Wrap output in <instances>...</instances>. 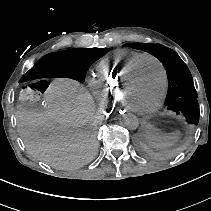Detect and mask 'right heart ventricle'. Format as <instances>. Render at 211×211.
<instances>
[{"label":"right heart ventricle","instance_id":"right-heart-ventricle-1","mask_svg":"<svg viewBox=\"0 0 211 211\" xmlns=\"http://www.w3.org/2000/svg\"><path fill=\"white\" fill-rule=\"evenodd\" d=\"M146 55L134 53L132 50L113 52L98 64L95 82L105 106L117 104L119 88L124 76Z\"/></svg>","mask_w":211,"mask_h":211}]
</instances>
